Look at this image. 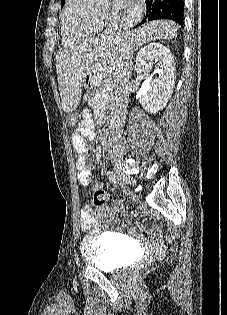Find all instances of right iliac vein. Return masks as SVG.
<instances>
[{
    "label": "right iliac vein",
    "instance_id": "1",
    "mask_svg": "<svg viewBox=\"0 0 227 315\" xmlns=\"http://www.w3.org/2000/svg\"><path fill=\"white\" fill-rule=\"evenodd\" d=\"M123 180L125 181V182H127V183H134V181L130 178V177H127V176H124L123 175Z\"/></svg>",
    "mask_w": 227,
    "mask_h": 315
}]
</instances>
